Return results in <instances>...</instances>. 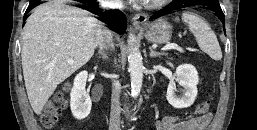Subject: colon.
Segmentation results:
<instances>
[{"label": "colon", "instance_id": "1", "mask_svg": "<svg viewBox=\"0 0 257 130\" xmlns=\"http://www.w3.org/2000/svg\"><path fill=\"white\" fill-rule=\"evenodd\" d=\"M70 85H66L63 91H59L50 101L44 109L41 116L43 125L50 128L57 121L62 111L66 108V97L65 94L69 90ZM210 108V100L201 102L196 108V114L198 116H204L208 113Z\"/></svg>", "mask_w": 257, "mask_h": 130}]
</instances>
